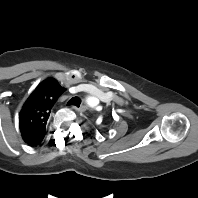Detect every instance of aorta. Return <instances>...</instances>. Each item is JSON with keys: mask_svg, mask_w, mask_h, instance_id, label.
I'll return each instance as SVG.
<instances>
[{"mask_svg": "<svg viewBox=\"0 0 198 198\" xmlns=\"http://www.w3.org/2000/svg\"><path fill=\"white\" fill-rule=\"evenodd\" d=\"M94 101H95V99L92 98V97L87 98V102H88V104L91 105V106H94V105L96 104Z\"/></svg>", "mask_w": 198, "mask_h": 198, "instance_id": "aorta-1", "label": "aorta"}]
</instances>
